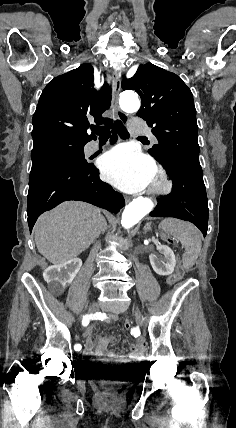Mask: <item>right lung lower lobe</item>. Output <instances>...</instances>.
<instances>
[{"label":"right lung lower lobe","mask_w":236,"mask_h":428,"mask_svg":"<svg viewBox=\"0 0 236 428\" xmlns=\"http://www.w3.org/2000/svg\"><path fill=\"white\" fill-rule=\"evenodd\" d=\"M117 139L113 130L112 142ZM79 200L118 213L125 205L123 196L99 179L92 165L56 163L30 172L27 214L30 231L37 218L59 203Z\"/></svg>","instance_id":"obj_1"}]
</instances>
